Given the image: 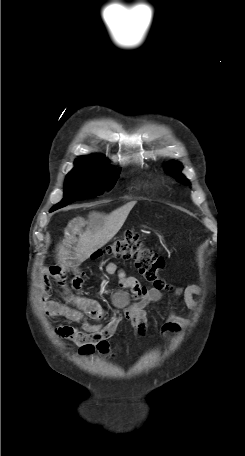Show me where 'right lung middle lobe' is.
Wrapping results in <instances>:
<instances>
[{"instance_id":"1","label":"right lung middle lobe","mask_w":245,"mask_h":456,"mask_svg":"<svg viewBox=\"0 0 245 456\" xmlns=\"http://www.w3.org/2000/svg\"><path fill=\"white\" fill-rule=\"evenodd\" d=\"M120 170H113L108 164L80 165L66 176L63 200L53 207V210L64 207L77 200L95 197L110 191Z\"/></svg>"}]
</instances>
